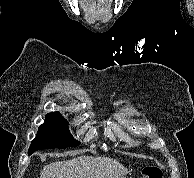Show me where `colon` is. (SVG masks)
<instances>
[{
    "mask_svg": "<svg viewBox=\"0 0 194 178\" xmlns=\"http://www.w3.org/2000/svg\"><path fill=\"white\" fill-rule=\"evenodd\" d=\"M142 178H163V172L159 167L148 166L142 171Z\"/></svg>",
    "mask_w": 194,
    "mask_h": 178,
    "instance_id": "1",
    "label": "colon"
}]
</instances>
